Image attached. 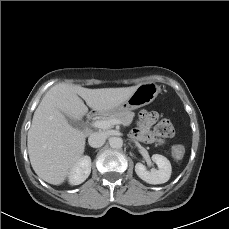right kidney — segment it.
Instances as JSON below:
<instances>
[{
    "label": "right kidney",
    "instance_id": "ca27d5eb",
    "mask_svg": "<svg viewBox=\"0 0 229 229\" xmlns=\"http://www.w3.org/2000/svg\"><path fill=\"white\" fill-rule=\"evenodd\" d=\"M91 173V158L83 156L80 161L73 167L69 174V183L79 185L83 183Z\"/></svg>",
    "mask_w": 229,
    "mask_h": 229
}]
</instances>
